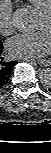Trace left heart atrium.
<instances>
[{
    "instance_id": "39dd6f15",
    "label": "left heart atrium",
    "mask_w": 51,
    "mask_h": 153,
    "mask_svg": "<svg viewBox=\"0 0 51 153\" xmlns=\"http://www.w3.org/2000/svg\"><path fill=\"white\" fill-rule=\"evenodd\" d=\"M9 53L24 59H38L49 54L51 34L49 30L37 33L18 34L7 42Z\"/></svg>"
}]
</instances>
